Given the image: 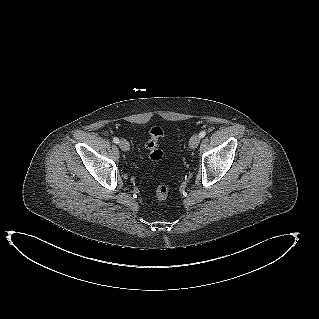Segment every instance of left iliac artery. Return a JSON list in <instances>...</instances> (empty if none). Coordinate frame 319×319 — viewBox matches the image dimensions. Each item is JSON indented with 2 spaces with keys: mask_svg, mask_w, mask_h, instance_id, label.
I'll list each match as a JSON object with an SVG mask.
<instances>
[{
  "mask_svg": "<svg viewBox=\"0 0 319 319\" xmlns=\"http://www.w3.org/2000/svg\"><path fill=\"white\" fill-rule=\"evenodd\" d=\"M205 135H206V131H201L199 134L200 138H203Z\"/></svg>",
  "mask_w": 319,
  "mask_h": 319,
  "instance_id": "obj_1",
  "label": "left iliac artery"
}]
</instances>
